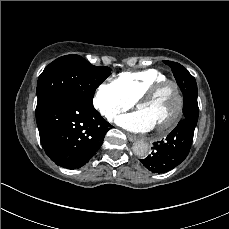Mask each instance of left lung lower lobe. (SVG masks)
Segmentation results:
<instances>
[{
	"mask_svg": "<svg viewBox=\"0 0 229 229\" xmlns=\"http://www.w3.org/2000/svg\"><path fill=\"white\" fill-rule=\"evenodd\" d=\"M183 101L185 117L165 140L154 142L153 153L141 160L152 173L170 171L182 163L189 153L199 114L197 91L184 93Z\"/></svg>",
	"mask_w": 229,
	"mask_h": 229,
	"instance_id": "obj_1",
	"label": "left lung lower lobe"
}]
</instances>
